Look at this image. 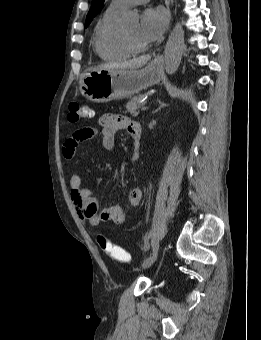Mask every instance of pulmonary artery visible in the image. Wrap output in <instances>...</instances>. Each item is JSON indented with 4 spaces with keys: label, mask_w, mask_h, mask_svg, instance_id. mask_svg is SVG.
Wrapping results in <instances>:
<instances>
[{
    "label": "pulmonary artery",
    "mask_w": 261,
    "mask_h": 340,
    "mask_svg": "<svg viewBox=\"0 0 261 340\" xmlns=\"http://www.w3.org/2000/svg\"><path fill=\"white\" fill-rule=\"evenodd\" d=\"M149 0H112L110 3V7L116 10H124L128 6L144 4Z\"/></svg>",
    "instance_id": "pulmonary-artery-1"
}]
</instances>
